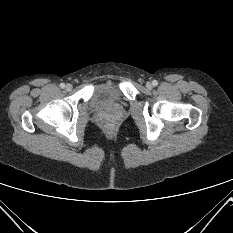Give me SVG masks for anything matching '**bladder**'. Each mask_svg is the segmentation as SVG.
<instances>
[{
    "label": "bladder",
    "mask_w": 233,
    "mask_h": 233,
    "mask_svg": "<svg viewBox=\"0 0 233 233\" xmlns=\"http://www.w3.org/2000/svg\"><path fill=\"white\" fill-rule=\"evenodd\" d=\"M121 90L119 85L112 82L97 84L91 94V104L95 108L113 107L120 103Z\"/></svg>",
    "instance_id": "obj_1"
}]
</instances>
